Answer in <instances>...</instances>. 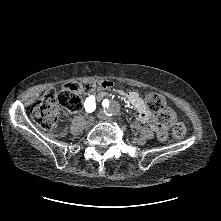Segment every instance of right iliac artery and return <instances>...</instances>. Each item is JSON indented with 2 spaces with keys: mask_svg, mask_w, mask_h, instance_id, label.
I'll list each match as a JSON object with an SVG mask.
<instances>
[{
  "mask_svg": "<svg viewBox=\"0 0 221 221\" xmlns=\"http://www.w3.org/2000/svg\"><path fill=\"white\" fill-rule=\"evenodd\" d=\"M95 109H96L95 97L94 96L88 97L85 102V110L91 113Z\"/></svg>",
  "mask_w": 221,
  "mask_h": 221,
  "instance_id": "right-iliac-artery-1",
  "label": "right iliac artery"
}]
</instances>
